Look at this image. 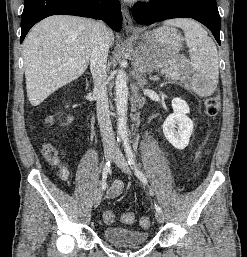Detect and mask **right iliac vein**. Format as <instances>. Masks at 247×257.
<instances>
[{"label": "right iliac vein", "instance_id": "obj_1", "mask_svg": "<svg viewBox=\"0 0 247 257\" xmlns=\"http://www.w3.org/2000/svg\"><path fill=\"white\" fill-rule=\"evenodd\" d=\"M104 154H105L106 160L109 161L113 157V150L112 149H106ZM102 195H103V192H102L101 189L97 190V192L95 193L94 198H93V206L95 208L100 204L101 199H102Z\"/></svg>", "mask_w": 247, "mask_h": 257}]
</instances>
